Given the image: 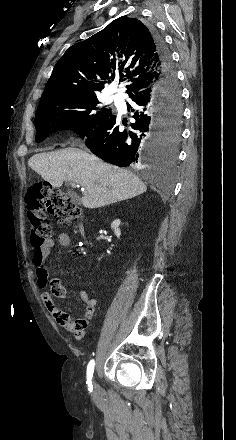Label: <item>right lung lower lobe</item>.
Segmentation results:
<instances>
[{"label":"right lung lower lobe","mask_w":236,"mask_h":440,"mask_svg":"<svg viewBox=\"0 0 236 440\" xmlns=\"http://www.w3.org/2000/svg\"><path fill=\"white\" fill-rule=\"evenodd\" d=\"M149 29L157 48L161 76L155 84L129 94L127 106L135 119L131 129H122L120 119L112 114L101 124L79 134L92 153L120 167H142L157 160L162 149L160 137L170 118L168 111L181 105V98H166V94L171 93L168 90L178 88L177 77L164 39L154 27Z\"/></svg>","instance_id":"obj_1"}]
</instances>
